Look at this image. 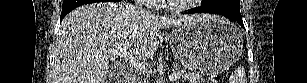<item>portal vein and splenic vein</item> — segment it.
Wrapping results in <instances>:
<instances>
[{"instance_id":"18ae733b","label":"portal vein and splenic vein","mask_w":307,"mask_h":83,"mask_svg":"<svg viewBox=\"0 0 307 83\" xmlns=\"http://www.w3.org/2000/svg\"><path fill=\"white\" fill-rule=\"evenodd\" d=\"M109 55L112 54L114 56H121L123 58H125V60H127L130 64H132V66H134V68L140 72H146V68L145 66L136 58L130 56L126 51L122 50V49H111V50H107L106 51ZM181 76L180 74L177 73H173L169 76V80L171 81H175L180 79Z\"/></svg>"}]
</instances>
